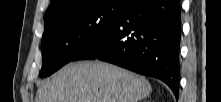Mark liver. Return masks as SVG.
<instances>
[{
	"instance_id": "liver-1",
	"label": "liver",
	"mask_w": 221,
	"mask_h": 102,
	"mask_svg": "<svg viewBox=\"0 0 221 102\" xmlns=\"http://www.w3.org/2000/svg\"><path fill=\"white\" fill-rule=\"evenodd\" d=\"M151 92L142 76L105 62L82 61L44 82L35 102H139Z\"/></svg>"
}]
</instances>
